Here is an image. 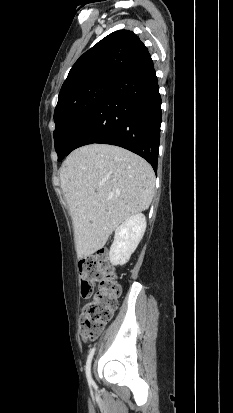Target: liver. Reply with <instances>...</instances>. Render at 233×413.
<instances>
[{
	"mask_svg": "<svg viewBox=\"0 0 233 413\" xmlns=\"http://www.w3.org/2000/svg\"><path fill=\"white\" fill-rule=\"evenodd\" d=\"M60 179L78 259L104 247L115 228L147 210L155 186L154 171L146 160L107 144L74 150L60 168Z\"/></svg>",
	"mask_w": 233,
	"mask_h": 413,
	"instance_id": "obj_1",
	"label": "liver"
}]
</instances>
